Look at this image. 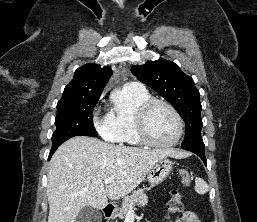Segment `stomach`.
I'll return each mask as SVG.
<instances>
[{
	"mask_svg": "<svg viewBox=\"0 0 257 222\" xmlns=\"http://www.w3.org/2000/svg\"><path fill=\"white\" fill-rule=\"evenodd\" d=\"M172 170V161L167 158L159 159L147 174L149 184L153 187L162 183ZM113 216H117L114 214Z\"/></svg>",
	"mask_w": 257,
	"mask_h": 222,
	"instance_id": "stomach-1",
	"label": "stomach"
}]
</instances>
